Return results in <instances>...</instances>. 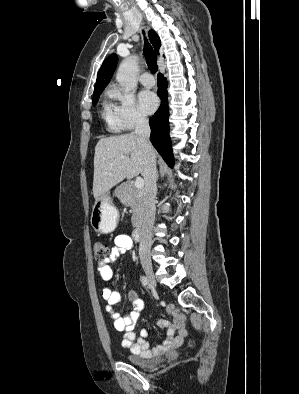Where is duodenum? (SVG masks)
Wrapping results in <instances>:
<instances>
[{
    "mask_svg": "<svg viewBox=\"0 0 299 394\" xmlns=\"http://www.w3.org/2000/svg\"><path fill=\"white\" fill-rule=\"evenodd\" d=\"M132 236L134 240H139L141 238V228L139 226L134 229Z\"/></svg>",
    "mask_w": 299,
    "mask_h": 394,
    "instance_id": "obj_1",
    "label": "duodenum"
}]
</instances>
